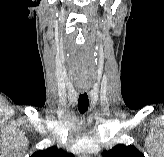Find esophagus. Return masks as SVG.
<instances>
[{
	"mask_svg": "<svg viewBox=\"0 0 164 157\" xmlns=\"http://www.w3.org/2000/svg\"><path fill=\"white\" fill-rule=\"evenodd\" d=\"M81 92H82V93H84V92H85V90H82Z\"/></svg>",
	"mask_w": 164,
	"mask_h": 157,
	"instance_id": "obj_1",
	"label": "esophagus"
}]
</instances>
